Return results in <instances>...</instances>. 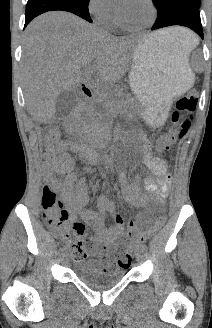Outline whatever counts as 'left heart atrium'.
I'll list each match as a JSON object with an SVG mask.
<instances>
[{
    "mask_svg": "<svg viewBox=\"0 0 212 328\" xmlns=\"http://www.w3.org/2000/svg\"><path fill=\"white\" fill-rule=\"evenodd\" d=\"M127 3H128V0H118V4H119L121 7H124Z\"/></svg>",
    "mask_w": 212,
    "mask_h": 328,
    "instance_id": "1",
    "label": "left heart atrium"
}]
</instances>
